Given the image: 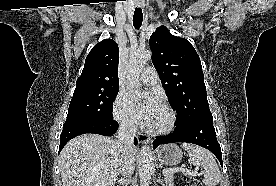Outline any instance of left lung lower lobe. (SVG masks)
I'll use <instances>...</instances> for the list:
<instances>
[{"instance_id":"0a47b994","label":"left lung lower lobe","mask_w":276,"mask_h":186,"mask_svg":"<svg viewBox=\"0 0 276 186\" xmlns=\"http://www.w3.org/2000/svg\"><path fill=\"white\" fill-rule=\"evenodd\" d=\"M175 142H187L202 146L210 150L223 166L221 148L216 138L212 116L202 117L182 126H177L170 135L156 137L153 148L161 144Z\"/></svg>"}]
</instances>
